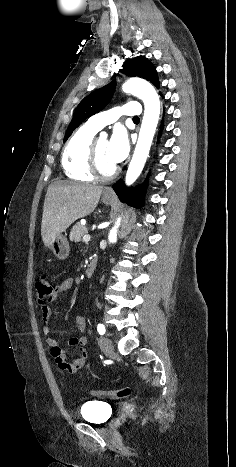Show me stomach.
Here are the masks:
<instances>
[{"instance_id": "stomach-1", "label": "stomach", "mask_w": 236, "mask_h": 467, "mask_svg": "<svg viewBox=\"0 0 236 467\" xmlns=\"http://www.w3.org/2000/svg\"><path fill=\"white\" fill-rule=\"evenodd\" d=\"M102 201L110 205L114 199L112 197L103 196ZM49 250L59 259H65L68 257L70 252V246L67 238L63 235H58L48 246Z\"/></svg>"}]
</instances>
